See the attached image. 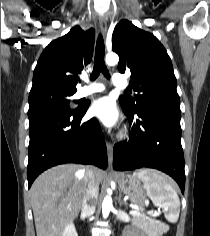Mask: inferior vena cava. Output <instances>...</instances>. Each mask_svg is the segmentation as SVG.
Here are the masks:
<instances>
[{
  "label": "inferior vena cava",
  "instance_id": "1",
  "mask_svg": "<svg viewBox=\"0 0 210 236\" xmlns=\"http://www.w3.org/2000/svg\"><path fill=\"white\" fill-rule=\"evenodd\" d=\"M88 185L87 190L83 198L82 214L91 216L96 209V202L98 199L99 183L95 179L93 169H89L88 172Z\"/></svg>",
  "mask_w": 210,
  "mask_h": 236
}]
</instances>
